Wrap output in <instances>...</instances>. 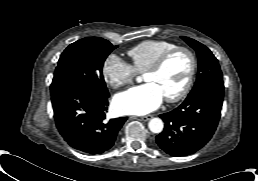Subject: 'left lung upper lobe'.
Here are the masks:
<instances>
[{"label": "left lung upper lobe", "mask_w": 258, "mask_h": 181, "mask_svg": "<svg viewBox=\"0 0 258 181\" xmlns=\"http://www.w3.org/2000/svg\"><path fill=\"white\" fill-rule=\"evenodd\" d=\"M197 53L198 56V77L196 83L186 99L193 98L209 89H224L222 72L218 60L212 52L198 41L181 37Z\"/></svg>", "instance_id": "left-lung-upper-lobe-1"}]
</instances>
